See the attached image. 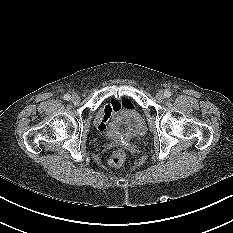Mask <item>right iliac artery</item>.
I'll list each match as a JSON object with an SVG mask.
<instances>
[{
  "mask_svg": "<svg viewBox=\"0 0 233 233\" xmlns=\"http://www.w3.org/2000/svg\"><path fill=\"white\" fill-rule=\"evenodd\" d=\"M64 99L67 100V101H69L70 100V95L69 94H65L64 95Z\"/></svg>",
  "mask_w": 233,
  "mask_h": 233,
  "instance_id": "obj_1",
  "label": "right iliac artery"
}]
</instances>
